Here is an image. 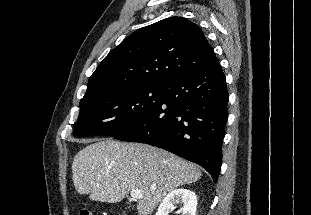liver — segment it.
<instances>
[{
    "label": "liver",
    "instance_id": "obj_1",
    "mask_svg": "<svg viewBox=\"0 0 311 215\" xmlns=\"http://www.w3.org/2000/svg\"><path fill=\"white\" fill-rule=\"evenodd\" d=\"M72 174L76 191L92 201L117 203L132 189L140 190L139 215L151 214L169 192L202 176L196 165L174 154L112 139L98 140L80 150Z\"/></svg>",
    "mask_w": 311,
    "mask_h": 215
}]
</instances>
